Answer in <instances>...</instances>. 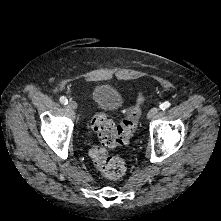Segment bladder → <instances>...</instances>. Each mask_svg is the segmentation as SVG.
Instances as JSON below:
<instances>
[{
	"label": "bladder",
	"instance_id": "31cf9c89",
	"mask_svg": "<svg viewBox=\"0 0 221 221\" xmlns=\"http://www.w3.org/2000/svg\"><path fill=\"white\" fill-rule=\"evenodd\" d=\"M93 103L101 109L114 112L122 105V97L117 89L108 84L96 86L92 91Z\"/></svg>",
	"mask_w": 221,
	"mask_h": 221
}]
</instances>
